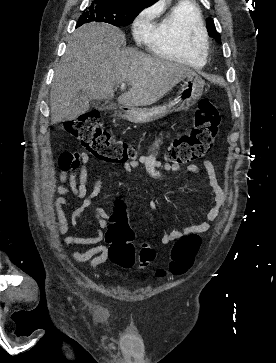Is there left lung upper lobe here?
Segmentation results:
<instances>
[{
	"label": "left lung upper lobe",
	"mask_w": 276,
	"mask_h": 363,
	"mask_svg": "<svg viewBox=\"0 0 276 363\" xmlns=\"http://www.w3.org/2000/svg\"><path fill=\"white\" fill-rule=\"evenodd\" d=\"M207 29H208V32H209L210 36L215 38L217 42H221L220 41V35L216 31L215 25H214L213 20L211 18L207 19Z\"/></svg>",
	"instance_id": "left-lung-upper-lobe-1"
}]
</instances>
